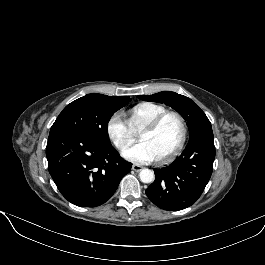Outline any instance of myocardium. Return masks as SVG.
Here are the masks:
<instances>
[{
  "instance_id": "1",
  "label": "myocardium",
  "mask_w": 265,
  "mask_h": 265,
  "mask_svg": "<svg viewBox=\"0 0 265 265\" xmlns=\"http://www.w3.org/2000/svg\"><path fill=\"white\" fill-rule=\"evenodd\" d=\"M170 116H174L179 120V122L181 124L182 134H181V138H180L179 142L177 143V145L173 149H171L169 152L156 158V160L159 162L172 158L173 156L178 154L183 149V147L187 141V138H188L187 122H186L184 116L182 114H180L179 112H177V111H166L165 113L159 115L158 117H156L154 120H152L151 122H149L148 124H146L142 128V131H147V132L155 131L161 125V123L166 118H168Z\"/></svg>"
}]
</instances>
